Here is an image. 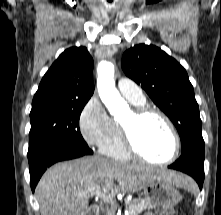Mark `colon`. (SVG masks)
Segmentation results:
<instances>
[{"label": "colon", "instance_id": "colon-1", "mask_svg": "<svg viewBox=\"0 0 221 215\" xmlns=\"http://www.w3.org/2000/svg\"><path fill=\"white\" fill-rule=\"evenodd\" d=\"M158 215H178L177 211L173 209L161 210Z\"/></svg>", "mask_w": 221, "mask_h": 215}]
</instances>
